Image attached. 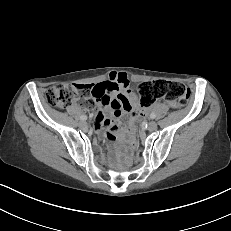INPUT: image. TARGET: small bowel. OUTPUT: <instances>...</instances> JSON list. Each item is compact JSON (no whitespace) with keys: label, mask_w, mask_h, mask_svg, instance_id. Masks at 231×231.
Returning a JSON list of instances; mask_svg holds the SVG:
<instances>
[{"label":"small bowel","mask_w":231,"mask_h":231,"mask_svg":"<svg viewBox=\"0 0 231 231\" xmlns=\"http://www.w3.org/2000/svg\"><path fill=\"white\" fill-rule=\"evenodd\" d=\"M90 86L93 98L99 99L103 106L97 116L95 131H107L108 141L114 142L119 128V117L124 112L137 111L133 87L124 73H113L108 80ZM117 91L119 93L114 95Z\"/></svg>","instance_id":"1"}]
</instances>
